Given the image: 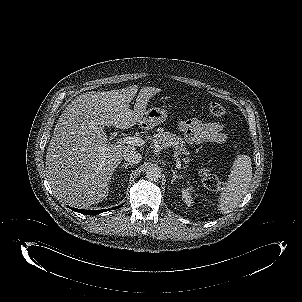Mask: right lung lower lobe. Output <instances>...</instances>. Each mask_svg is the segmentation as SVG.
<instances>
[{
	"mask_svg": "<svg viewBox=\"0 0 302 302\" xmlns=\"http://www.w3.org/2000/svg\"><path fill=\"white\" fill-rule=\"evenodd\" d=\"M122 205L120 206H117L116 208L114 209H117L119 207H121ZM71 210L75 211V212H79V213H82V214H87V215H95V214H99V213H102V212H105L107 211L108 209H103V210H83V209H76V208H71L69 207Z\"/></svg>",
	"mask_w": 302,
	"mask_h": 302,
	"instance_id": "obj_1",
	"label": "right lung lower lobe"
}]
</instances>
